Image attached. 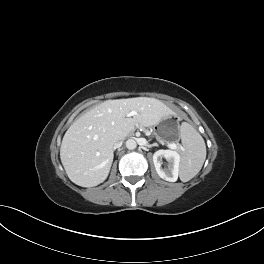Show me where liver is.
Segmentation results:
<instances>
[{"label": "liver", "instance_id": "6515ba94", "mask_svg": "<svg viewBox=\"0 0 264 264\" xmlns=\"http://www.w3.org/2000/svg\"><path fill=\"white\" fill-rule=\"evenodd\" d=\"M135 111L133 118L128 114ZM173 111L155 98L107 100L97 105L66 131L60 159L69 179L82 187H94L108 177L113 146L126 138L135 125H157Z\"/></svg>", "mask_w": 264, "mask_h": 264}]
</instances>
